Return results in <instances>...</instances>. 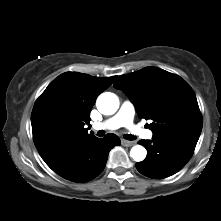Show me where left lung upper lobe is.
I'll use <instances>...</instances> for the list:
<instances>
[{
	"instance_id": "1",
	"label": "left lung upper lobe",
	"mask_w": 221,
	"mask_h": 221,
	"mask_svg": "<svg viewBox=\"0 0 221 221\" xmlns=\"http://www.w3.org/2000/svg\"><path fill=\"white\" fill-rule=\"evenodd\" d=\"M114 87L124 91L139 117L152 120L153 138L200 136L202 116L192 88L180 76L157 67L121 75Z\"/></svg>"
}]
</instances>
